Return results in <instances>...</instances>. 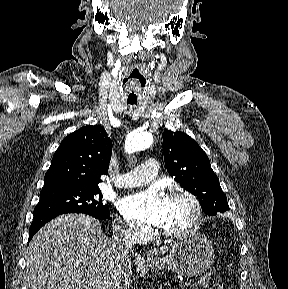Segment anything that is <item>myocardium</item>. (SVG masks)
I'll list each match as a JSON object with an SVG mask.
<instances>
[{
  "mask_svg": "<svg viewBox=\"0 0 288 289\" xmlns=\"http://www.w3.org/2000/svg\"><path fill=\"white\" fill-rule=\"evenodd\" d=\"M185 199L192 208V218L187 227L178 231H167L162 229L160 232L167 238L170 239H182L193 235L199 228L202 218V206L193 193L187 190H172L170 191L165 199Z\"/></svg>",
  "mask_w": 288,
  "mask_h": 289,
  "instance_id": "myocardium-1",
  "label": "myocardium"
}]
</instances>
